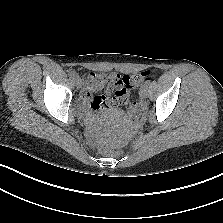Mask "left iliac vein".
Listing matches in <instances>:
<instances>
[{
	"instance_id": "obj_1",
	"label": "left iliac vein",
	"mask_w": 223,
	"mask_h": 223,
	"mask_svg": "<svg viewBox=\"0 0 223 223\" xmlns=\"http://www.w3.org/2000/svg\"><path fill=\"white\" fill-rule=\"evenodd\" d=\"M139 94H140V97H141L142 99H145V98L148 96V89H147V87H146V86H143V87L140 89Z\"/></svg>"
}]
</instances>
